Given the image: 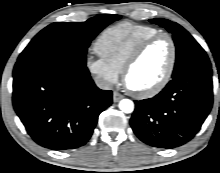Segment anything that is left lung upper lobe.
Instances as JSON below:
<instances>
[{
    "mask_svg": "<svg viewBox=\"0 0 220 173\" xmlns=\"http://www.w3.org/2000/svg\"><path fill=\"white\" fill-rule=\"evenodd\" d=\"M150 22L166 28L173 34V40L176 46V62L172 78L189 71L211 67L204 49L179 24L161 18L151 19Z\"/></svg>",
    "mask_w": 220,
    "mask_h": 173,
    "instance_id": "obj_1",
    "label": "left lung upper lobe"
}]
</instances>
